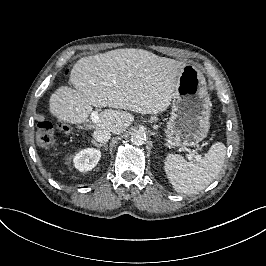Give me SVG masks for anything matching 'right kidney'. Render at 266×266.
<instances>
[{"mask_svg":"<svg viewBox=\"0 0 266 266\" xmlns=\"http://www.w3.org/2000/svg\"><path fill=\"white\" fill-rule=\"evenodd\" d=\"M101 158V152L95 148H87L78 152L74 158L73 163L76 169L80 172L92 170Z\"/></svg>","mask_w":266,"mask_h":266,"instance_id":"right-kidney-1","label":"right kidney"}]
</instances>
